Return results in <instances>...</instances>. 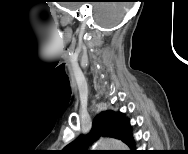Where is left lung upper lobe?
I'll return each instance as SVG.
<instances>
[{
    "label": "left lung upper lobe",
    "mask_w": 188,
    "mask_h": 154,
    "mask_svg": "<svg viewBox=\"0 0 188 154\" xmlns=\"http://www.w3.org/2000/svg\"><path fill=\"white\" fill-rule=\"evenodd\" d=\"M128 125L129 122L123 113L103 111L95 118L89 134L80 135L63 150L68 154H88L90 152L88 146L101 135L123 141Z\"/></svg>",
    "instance_id": "obj_1"
}]
</instances>
